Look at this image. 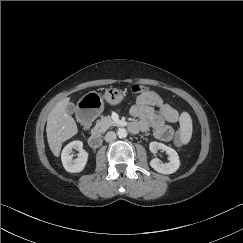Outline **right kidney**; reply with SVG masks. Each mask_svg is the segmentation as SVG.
<instances>
[{
  "label": "right kidney",
  "mask_w": 243,
  "mask_h": 243,
  "mask_svg": "<svg viewBox=\"0 0 243 243\" xmlns=\"http://www.w3.org/2000/svg\"><path fill=\"white\" fill-rule=\"evenodd\" d=\"M72 149L79 151L78 158L72 159V155L70 154ZM61 160L66 171L70 173L83 171L88 161V153L83 150V142L77 140L66 145L62 151Z\"/></svg>",
  "instance_id": "ca27d5eb"
}]
</instances>
